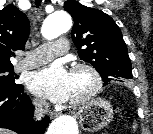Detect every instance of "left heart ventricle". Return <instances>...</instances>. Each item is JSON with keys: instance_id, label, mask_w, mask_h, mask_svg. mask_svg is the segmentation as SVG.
<instances>
[{"instance_id": "b2bd125f", "label": "left heart ventricle", "mask_w": 153, "mask_h": 134, "mask_svg": "<svg viewBox=\"0 0 153 134\" xmlns=\"http://www.w3.org/2000/svg\"><path fill=\"white\" fill-rule=\"evenodd\" d=\"M92 81L85 71L71 72V95L70 100L85 94L91 87Z\"/></svg>"}]
</instances>
